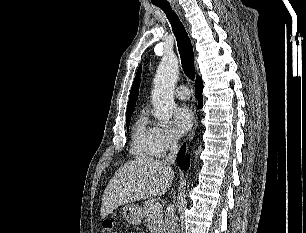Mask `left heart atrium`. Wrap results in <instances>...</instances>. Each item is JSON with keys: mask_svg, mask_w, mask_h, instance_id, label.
Masks as SVG:
<instances>
[{"mask_svg": "<svg viewBox=\"0 0 306 233\" xmlns=\"http://www.w3.org/2000/svg\"><path fill=\"white\" fill-rule=\"evenodd\" d=\"M174 125L177 133H187L194 124V116L187 106H180L173 113Z\"/></svg>", "mask_w": 306, "mask_h": 233, "instance_id": "1", "label": "left heart atrium"}]
</instances>
